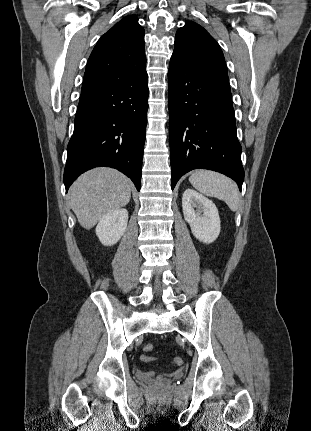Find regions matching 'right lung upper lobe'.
<instances>
[{"instance_id": "cb5924a9", "label": "right lung upper lobe", "mask_w": 311, "mask_h": 431, "mask_svg": "<svg viewBox=\"0 0 311 431\" xmlns=\"http://www.w3.org/2000/svg\"><path fill=\"white\" fill-rule=\"evenodd\" d=\"M144 35L135 15L107 31L89 57L81 92L132 79L145 69Z\"/></svg>"}]
</instances>
